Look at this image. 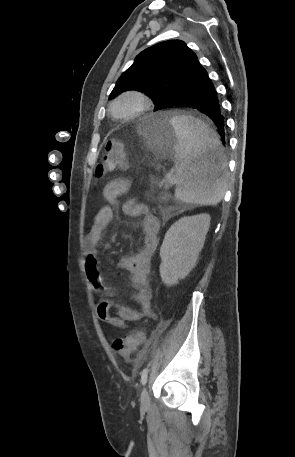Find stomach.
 <instances>
[{"instance_id": "1", "label": "stomach", "mask_w": 295, "mask_h": 457, "mask_svg": "<svg viewBox=\"0 0 295 457\" xmlns=\"http://www.w3.org/2000/svg\"><path fill=\"white\" fill-rule=\"evenodd\" d=\"M140 133L148 146L159 149L166 145L170 148L178 144V137L171 119L164 115H149L140 126Z\"/></svg>"}]
</instances>
